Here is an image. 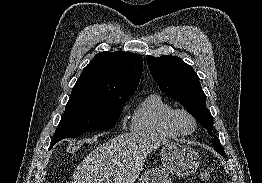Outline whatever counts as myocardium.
<instances>
[{
	"label": "myocardium",
	"instance_id": "1",
	"mask_svg": "<svg viewBox=\"0 0 262 183\" xmlns=\"http://www.w3.org/2000/svg\"><path fill=\"white\" fill-rule=\"evenodd\" d=\"M186 116L188 117L193 123V129L191 131H186L182 128L180 124V117ZM170 124L174 130H176L181 135H191L195 133L198 128V121L196 117L186 109H174L169 118Z\"/></svg>",
	"mask_w": 262,
	"mask_h": 183
}]
</instances>
